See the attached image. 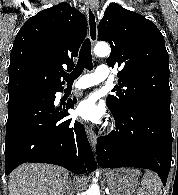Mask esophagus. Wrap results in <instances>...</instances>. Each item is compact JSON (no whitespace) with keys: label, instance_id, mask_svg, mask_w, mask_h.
<instances>
[{"label":"esophagus","instance_id":"obj_1","mask_svg":"<svg viewBox=\"0 0 178 195\" xmlns=\"http://www.w3.org/2000/svg\"><path fill=\"white\" fill-rule=\"evenodd\" d=\"M95 10L96 8L93 3L87 4L86 14H87V21H88L89 38L92 45H94L97 41V18H96ZM85 131L89 139L90 145L93 151H95L97 136L92 130V127L90 125H85Z\"/></svg>","mask_w":178,"mask_h":195}]
</instances>
